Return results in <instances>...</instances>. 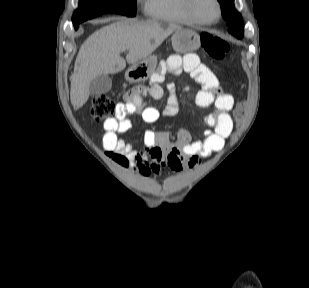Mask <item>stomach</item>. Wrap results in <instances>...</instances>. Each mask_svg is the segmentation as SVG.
<instances>
[{"label": "stomach", "mask_w": 309, "mask_h": 288, "mask_svg": "<svg viewBox=\"0 0 309 288\" xmlns=\"http://www.w3.org/2000/svg\"><path fill=\"white\" fill-rule=\"evenodd\" d=\"M172 46L177 53H188L200 47L199 34L188 28L177 29L172 36ZM157 66V56H149L133 64L125 73L130 83L143 82L150 78Z\"/></svg>", "instance_id": "0dacf381"}]
</instances>
